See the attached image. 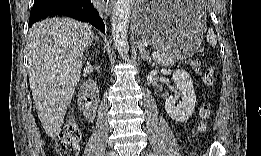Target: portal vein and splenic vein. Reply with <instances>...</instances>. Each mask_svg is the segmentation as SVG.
Masks as SVG:
<instances>
[{
    "label": "portal vein and splenic vein",
    "instance_id": "1",
    "mask_svg": "<svg viewBox=\"0 0 261 156\" xmlns=\"http://www.w3.org/2000/svg\"><path fill=\"white\" fill-rule=\"evenodd\" d=\"M159 56H160V53H159L158 51L152 53V57H153L154 59L159 58Z\"/></svg>",
    "mask_w": 261,
    "mask_h": 156
}]
</instances>
